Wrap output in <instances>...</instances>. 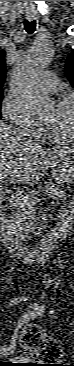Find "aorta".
Masks as SVG:
<instances>
[{
    "label": "aorta",
    "mask_w": 74,
    "mask_h": 366,
    "mask_svg": "<svg viewBox=\"0 0 74 366\" xmlns=\"http://www.w3.org/2000/svg\"><path fill=\"white\" fill-rule=\"evenodd\" d=\"M54 49L47 43H35L20 59L11 75V88L25 105L36 114H43L51 100L39 89L41 73L48 68Z\"/></svg>",
    "instance_id": "762f6f07"
}]
</instances>
